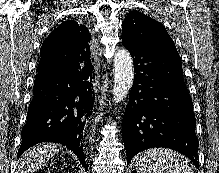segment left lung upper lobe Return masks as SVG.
Segmentation results:
<instances>
[{"mask_svg": "<svg viewBox=\"0 0 219 173\" xmlns=\"http://www.w3.org/2000/svg\"><path fill=\"white\" fill-rule=\"evenodd\" d=\"M122 42L131 46L177 50L165 27L139 11L127 14L122 23Z\"/></svg>", "mask_w": 219, "mask_h": 173, "instance_id": "5c2ea615", "label": "left lung upper lobe"}]
</instances>
